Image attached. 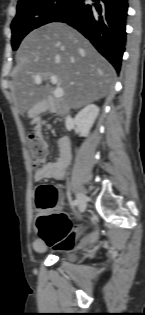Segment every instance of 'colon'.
I'll list each match as a JSON object with an SVG mask.
<instances>
[{
    "mask_svg": "<svg viewBox=\"0 0 145 315\" xmlns=\"http://www.w3.org/2000/svg\"><path fill=\"white\" fill-rule=\"evenodd\" d=\"M27 145L33 166L37 169L45 164L47 150L44 140L38 134H29ZM61 190L54 184H44L36 190V229L39 238L46 245L61 250L74 245L77 232L73 229L68 216L59 210Z\"/></svg>",
    "mask_w": 145,
    "mask_h": 315,
    "instance_id": "colon-1",
    "label": "colon"
}]
</instances>
